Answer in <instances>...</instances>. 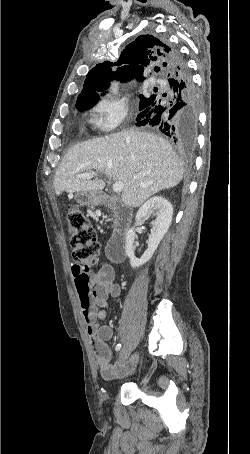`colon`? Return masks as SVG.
<instances>
[{
  "label": "colon",
  "mask_w": 250,
  "mask_h": 454,
  "mask_svg": "<svg viewBox=\"0 0 250 454\" xmlns=\"http://www.w3.org/2000/svg\"><path fill=\"white\" fill-rule=\"evenodd\" d=\"M67 225L72 257L75 263L86 268L99 265L100 246L96 233L88 218L78 206L70 205L68 207ZM87 316H92L91 311L87 312Z\"/></svg>",
  "instance_id": "5ec220e1"
}]
</instances>
